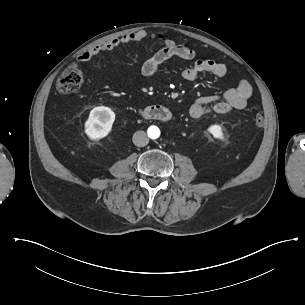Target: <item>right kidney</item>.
Segmentation results:
<instances>
[{"mask_svg": "<svg viewBox=\"0 0 305 305\" xmlns=\"http://www.w3.org/2000/svg\"><path fill=\"white\" fill-rule=\"evenodd\" d=\"M114 120L115 114L110 108L104 106L95 107L91 110L85 123V133L91 139H99L110 131Z\"/></svg>", "mask_w": 305, "mask_h": 305, "instance_id": "ca27d5eb", "label": "right kidney"}]
</instances>
